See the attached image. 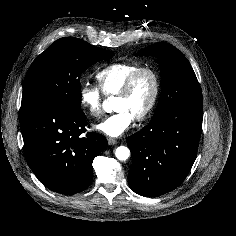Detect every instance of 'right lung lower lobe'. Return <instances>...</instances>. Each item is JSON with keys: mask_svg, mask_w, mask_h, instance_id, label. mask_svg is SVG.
<instances>
[{"mask_svg": "<svg viewBox=\"0 0 236 236\" xmlns=\"http://www.w3.org/2000/svg\"><path fill=\"white\" fill-rule=\"evenodd\" d=\"M86 116L55 104L21 108V132L26 161L50 190L73 195L93 179V159L107 146L104 136L85 132Z\"/></svg>", "mask_w": 236, "mask_h": 236, "instance_id": "98d812e1", "label": "right lung lower lobe"}]
</instances>
